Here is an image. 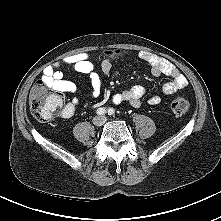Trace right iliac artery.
Segmentation results:
<instances>
[{
    "mask_svg": "<svg viewBox=\"0 0 221 221\" xmlns=\"http://www.w3.org/2000/svg\"><path fill=\"white\" fill-rule=\"evenodd\" d=\"M106 113V109L105 108H99V109H97V114L98 115H103V114H105Z\"/></svg>",
    "mask_w": 221,
    "mask_h": 221,
    "instance_id": "obj_1",
    "label": "right iliac artery"
}]
</instances>
